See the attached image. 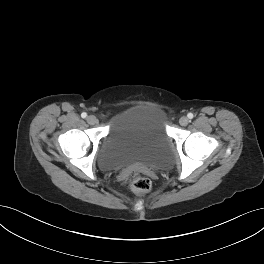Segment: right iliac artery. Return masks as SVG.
Returning a JSON list of instances; mask_svg holds the SVG:
<instances>
[{
    "label": "right iliac artery",
    "instance_id": "right-iliac-artery-1",
    "mask_svg": "<svg viewBox=\"0 0 264 264\" xmlns=\"http://www.w3.org/2000/svg\"><path fill=\"white\" fill-rule=\"evenodd\" d=\"M81 117H82V118H86V117H87V113L83 112V113L81 114Z\"/></svg>",
    "mask_w": 264,
    "mask_h": 264
}]
</instances>
